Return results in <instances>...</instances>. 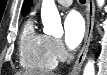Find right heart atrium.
<instances>
[{
  "instance_id": "1",
  "label": "right heart atrium",
  "mask_w": 107,
  "mask_h": 75,
  "mask_svg": "<svg viewBox=\"0 0 107 75\" xmlns=\"http://www.w3.org/2000/svg\"><path fill=\"white\" fill-rule=\"evenodd\" d=\"M50 47L56 60L65 58L66 51L60 39L50 38Z\"/></svg>"
}]
</instances>
